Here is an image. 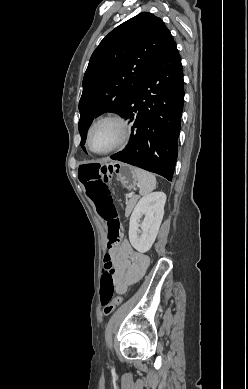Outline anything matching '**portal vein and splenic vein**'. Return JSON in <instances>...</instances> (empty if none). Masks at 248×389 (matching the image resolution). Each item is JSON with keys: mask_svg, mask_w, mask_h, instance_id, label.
I'll return each instance as SVG.
<instances>
[{"mask_svg": "<svg viewBox=\"0 0 248 389\" xmlns=\"http://www.w3.org/2000/svg\"><path fill=\"white\" fill-rule=\"evenodd\" d=\"M128 197H129V198H132V197H133V193H129V194H128Z\"/></svg>", "mask_w": 248, "mask_h": 389, "instance_id": "obj_1", "label": "portal vein and splenic vein"}]
</instances>
